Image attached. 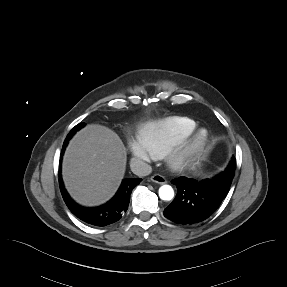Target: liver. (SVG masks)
<instances>
[{"instance_id": "liver-1", "label": "liver", "mask_w": 287, "mask_h": 287, "mask_svg": "<svg viewBox=\"0 0 287 287\" xmlns=\"http://www.w3.org/2000/svg\"><path fill=\"white\" fill-rule=\"evenodd\" d=\"M126 168V149L111 129L91 124L70 141L62 163V176L72 198L85 206L109 200Z\"/></svg>"}]
</instances>
